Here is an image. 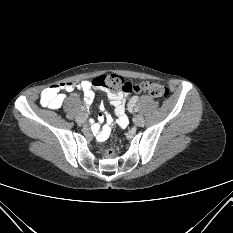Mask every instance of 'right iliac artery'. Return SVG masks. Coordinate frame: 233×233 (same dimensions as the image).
<instances>
[{
    "mask_svg": "<svg viewBox=\"0 0 233 233\" xmlns=\"http://www.w3.org/2000/svg\"><path fill=\"white\" fill-rule=\"evenodd\" d=\"M81 110H82V111H85V107H82Z\"/></svg>",
    "mask_w": 233,
    "mask_h": 233,
    "instance_id": "obj_1",
    "label": "right iliac artery"
}]
</instances>
